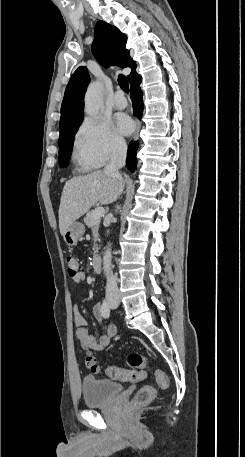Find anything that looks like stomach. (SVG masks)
Masks as SVG:
<instances>
[{
    "label": "stomach",
    "mask_w": 245,
    "mask_h": 457,
    "mask_svg": "<svg viewBox=\"0 0 245 457\" xmlns=\"http://www.w3.org/2000/svg\"><path fill=\"white\" fill-rule=\"evenodd\" d=\"M85 233V226L82 224V222H72L71 226H69L68 231L64 233L63 239L66 243V245H69V247H74V245H77L78 239L82 237Z\"/></svg>",
    "instance_id": "0dacf381"
}]
</instances>
